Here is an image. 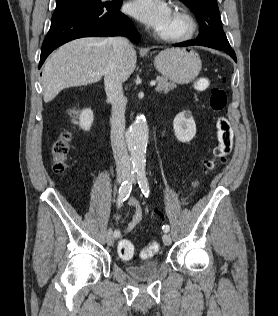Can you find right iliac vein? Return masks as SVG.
I'll list each match as a JSON object with an SVG mask.
<instances>
[{
  "mask_svg": "<svg viewBox=\"0 0 278 316\" xmlns=\"http://www.w3.org/2000/svg\"><path fill=\"white\" fill-rule=\"evenodd\" d=\"M127 178V174L126 173H119L118 176H117V181L119 184L123 183ZM114 235L112 233V230L109 229L107 231V234H106V242L109 246H112L114 244Z\"/></svg>",
  "mask_w": 278,
  "mask_h": 316,
  "instance_id": "1",
  "label": "right iliac vein"
}]
</instances>
